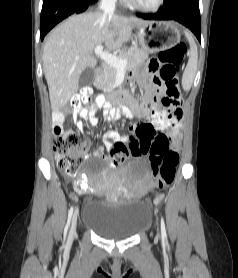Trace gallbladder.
Instances as JSON below:
<instances>
[{"instance_id": "bac80fb5", "label": "gallbladder", "mask_w": 238, "mask_h": 278, "mask_svg": "<svg viewBox=\"0 0 238 278\" xmlns=\"http://www.w3.org/2000/svg\"><path fill=\"white\" fill-rule=\"evenodd\" d=\"M93 82V69L91 67L85 68L79 78V85L86 86Z\"/></svg>"}]
</instances>
